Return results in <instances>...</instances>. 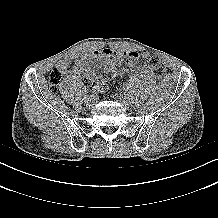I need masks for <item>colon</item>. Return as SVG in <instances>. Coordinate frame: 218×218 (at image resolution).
<instances>
[{
	"mask_svg": "<svg viewBox=\"0 0 218 218\" xmlns=\"http://www.w3.org/2000/svg\"><path fill=\"white\" fill-rule=\"evenodd\" d=\"M139 56L138 54H133L130 56L126 65L120 69L116 67H111L101 74V76L93 83L94 89L98 93H104L108 91V81L127 73L131 67H134L138 64ZM148 67L152 74L158 78H162L165 75L166 68L164 63L156 56H151L148 60ZM62 72L55 68L49 75V86L52 92L56 91L57 86L61 82Z\"/></svg>",
	"mask_w": 218,
	"mask_h": 218,
	"instance_id": "1",
	"label": "colon"
}]
</instances>
